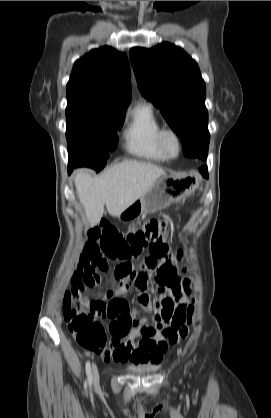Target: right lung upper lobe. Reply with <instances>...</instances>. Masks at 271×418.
<instances>
[{
	"instance_id": "obj_1",
	"label": "right lung upper lobe",
	"mask_w": 271,
	"mask_h": 418,
	"mask_svg": "<svg viewBox=\"0 0 271 418\" xmlns=\"http://www.w3.org/2000/svg\"><path fill=\"white\" fill-rule=\"evenodd\" d=\"M66 91L68 105L125 112L131 101L126 54L107 46L92 50L75 62Z\"/></svg>"
}]
</instances>
